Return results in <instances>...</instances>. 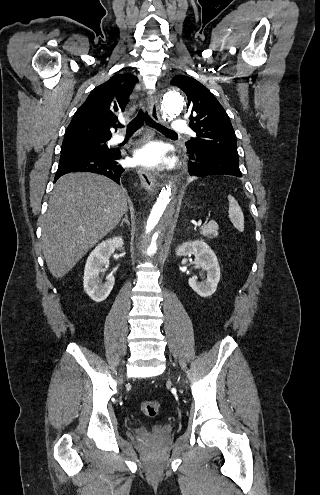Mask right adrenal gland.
<instances>
[{"label": "right adrenal gland", "instance_id": "obj_1", "mask_svg": "<svg viewBox=\"0 0 320 495\" xmlns=\"http://www.w3.org/2000/svg\"><path fill=\"white\" fill-rule=\"evenodd\" d=\"M123 223H126L127 225H130V222L128 220V214H127V212L125 213V216H124V218L122 219V221L120 223V227L123 226Z\"/></svg>", "mask_w": 320, "mask_h": 495}]
</instances>
